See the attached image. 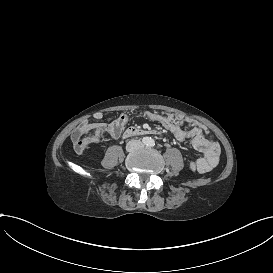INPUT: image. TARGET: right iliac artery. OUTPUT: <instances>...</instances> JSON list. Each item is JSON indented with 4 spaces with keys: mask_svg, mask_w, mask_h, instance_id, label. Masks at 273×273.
I'll use <instances>...</instances> for the list:
<instances>
[{
    "mask_svg": "<svg viewBox=\"0 0 273 273\" xmlns=\"http://www.w3.org/2000/svg\"><path fill=\"white\" fill-rule=\"evenodd\" d=\"M150 140H151L150 138L144 137L142 141L144 144H148L150 142Z\"/></svg>",
    "mask_w": 273,
    "mask_h": 273,
    "instance_id": "right-iliac-artery-1",
    "label": "right iliac artery"
}]
</instances>
